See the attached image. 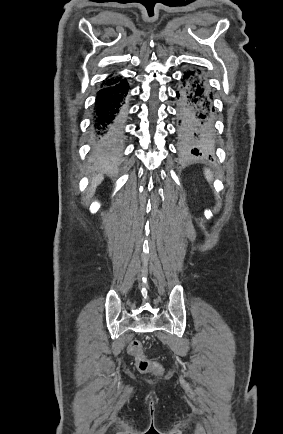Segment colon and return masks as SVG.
Returning a JSON list of instances; mask_svg holds the SVG:
<instances>
[{"label": "colon", "mask_w": 283, "mask_h": 434, "mask_svg": "<svg viewBox=\"0 0 283 434\" xmlns=\"http://www.w3.org/2000/svg\"><path fill=\"white\" fill-rule=\"evenodd\" d=\"M129 353L136 357L137 368L142 373H162L160 364L147 359L142 352L141 343L137 340L132 341L128 347Z\"/></svg>", "instance_id": "1"}]
</instances>
